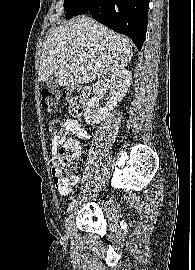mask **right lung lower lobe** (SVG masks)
Masks as SVG:
<instances>
[{
  "instance_id": "98d812e1",
  "label": "right lung lower lobe",
  "mask_w": 195,
  "mask_h": 270,
  "mask_svg": "<svg viewBox=\"0 0 195 270\" xmlns=\"http://www.w3.org/2000/svg\"><path fill=\"white\" fill-rule=\"evenodd\" d=\"M150 0H83L93 18L129 36L140 51L145 40Z\"/></svg>"
}]
</instances>
